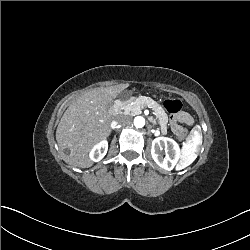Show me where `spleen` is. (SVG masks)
Returning <instances> with one entry per match:
<instances>
[{
    "label": "spleen",
    "instance_id": "1",
    "mask_svg": "<svg viewBox=\"0 0 250 250\" xmlns=\"http://www.w3.org/2000/svg\"><path fill=\"white\" fill-rule=\"evenodd\" d=\"M189 163H184L183 167H186Z\"/></svg>",
    "mask_w": 250,
    "mask_h": 250
}]
</instances>
